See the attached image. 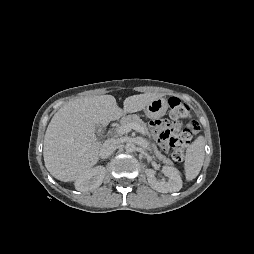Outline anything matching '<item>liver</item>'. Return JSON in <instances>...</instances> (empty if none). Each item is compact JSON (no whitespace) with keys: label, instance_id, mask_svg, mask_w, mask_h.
<instances>
[{"label":"liver","instance_id":"obj_1","mask_svg":"<svg viewBox=\"0 0 254 254\" xmlns=\"http://www.w3.org/2000/svg\"><path fill=\"white\" fill-rule=\"evenodd\" d=\"M159 97L157 93L133 95L124 100L123 109L112 95L69 101L55 113L45 133L43 156L47 170L60 181H74L99 160L102 144L96 140L97 126L141 111Z\"/></svg>","mask_w":254,"mask_h":254}]
</instances>
